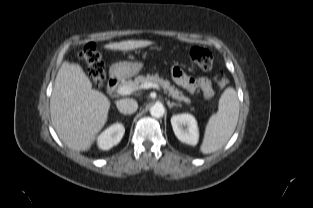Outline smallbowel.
I'll return each mask as SVG.
<instances>
[{
    "mask_svg": "<svg viewBox=\"0 0 313 208\" xmlns=\"http://www.w3.org/2000/svg\"><path fill=\"white\" fill-rule=\"evenodd\" d=\"M172 77L174 81L190 93L201 90L205 98H211L214 94L211 82L205 77H193L187 75L181 68L174 66L172 68Z\"/></svg>",
    "mask_w": 313,
    "mask_h": 208,
    "instance_id": "1",
    "label": "small bowel"
}]
</instances>
